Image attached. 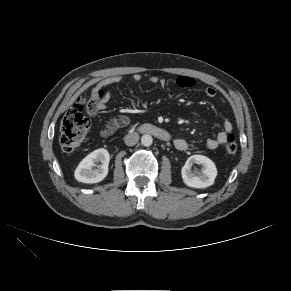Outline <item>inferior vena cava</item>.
Segmentation results:
<instances>
[{
  "label": "inferior vena cava",
  "instance_id": "602c4592",
  "mask_svg": "<svg viewBox=\"0 0 291 291\" xmlns=\"http://www.w3.org/2000/svg\"><path fill=\"white\" fill-rule=\"evenodd\" d=\"M124 140L127 146H133L138 142L139 134L136 132L130 133L125 136Z\"/></svg>",
  "mask_w": 291,
  "mask_h": 291
}]
</instances>
